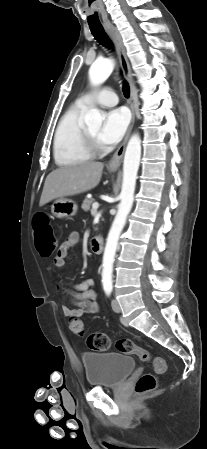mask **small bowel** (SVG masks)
<instances>
[{
  "label": "small bowel",
  "mask_w": 207,
  "mask_h": 449,
  "mask_svg": "<svg viewBox=\"0 0 207 449\" xmlns=\"http://www.w3.org/2000/svg\"><path fill=\"white\" fill-rule=\"evenodd\" d=\"M79 242V235L76 232L70 233L67 238L60 244L54 263L57 267L63 268L66 265V259L73 247ZM72 288H66L61 282L56 283V288L70 295L72 300L77 304L76 308L67 305L62 306L65 316L78 317L83 314H96L98 312L97 295L94 291L93 279H85L79 283L71 285Z\"/></svg>",
  "instance_id": "1"
}]
</instances>
